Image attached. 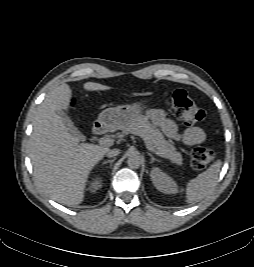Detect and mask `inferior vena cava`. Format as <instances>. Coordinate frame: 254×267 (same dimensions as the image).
<instances>
[{
    "mask_svg": "<svg viewBox=\"0 0 254 267\" xmlns=\"http://www.w3.org/2000/svg\"><path fill=\"white\" fill-rule=\"evenodd\" d=\"M118 154H120V150L119 149L108 150L107 153H106L107 157H109V158L115 157Z\"/></svg>",
    "mask_w": 254,
    "mask_h": 267,
    "instance_id": "inferior-vena-cava-1",
    "label": "inferior vena cava"
}]
</instances>
